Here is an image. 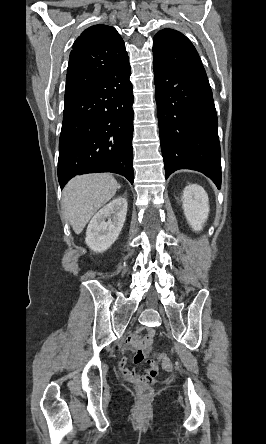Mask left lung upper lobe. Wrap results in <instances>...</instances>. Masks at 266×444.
Masks as SVG:
<instances>
[{
  "mask_svg": "<svg viewBox=\"0 0 266 444\" xmlns=\"http://www.w3.org/2000/svg\"><path fill=\"white\" fill-rule=\"evenodd\" d=\"M153 41L154 59L183 72L206 73L197 50L181 32L163 29Z\"/></svg>",
  "mask_w": 266,
  "mask_h": 444,
  "instance_id": "5c2ea615",
  "label": "left lung upper lobe"
}]
</instances>
